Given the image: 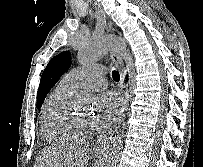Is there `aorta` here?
Segmentation results:
<instances>
[{
	"instance_id": "762f6f07",
	"label": "aorta",
	"mask_w": 203,
	"mask_h": 167,
	"mask_svg": "<svg viewBox=\"0 0 203 167\" xmlns=\"http://www.w3.org/2000/svg\"><path fill=\"white\" fill-rule=\"evenodd\" d=\"M124 48L121 39L111 37H101L85 43L78 51V61L86 66L93 64L103 58L110 51ZM123 149L122 137L117 135L111 137L102 151L99 167H116Z\"/></svg>"
}]
</instances>
